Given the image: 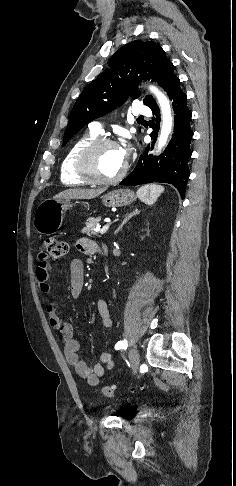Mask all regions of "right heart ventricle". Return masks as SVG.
<instances>
[{
    "mask_svg": "<svg viewBox=\"0 0 236 486\" xmlns=\"http://www.w3.org/2000/svg\"><path fill=\"white\" fill-rule=\"evenodd\" d=\"M97 138V133L89 131L76 139L69 147L60 167L61 182L67 186H82L89 184L75 170V161L79 151L90 141Z\"/></svg>",
    "mask_w": 236,
    "mask_h": 486,
    "instance_id": "1",
    "label": "right heart ventricle"
}]
</instances>
